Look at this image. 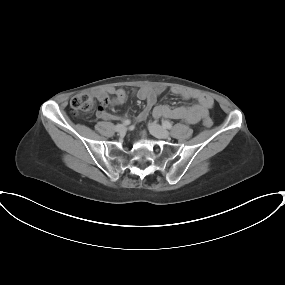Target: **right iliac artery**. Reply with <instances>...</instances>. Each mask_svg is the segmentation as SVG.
I'll use <instances>...</instances> for the list:
<instances>
[{
	"mask_svg": "<svg viewBox=\"0 0 285 285\" xmlns=\"http://www.w3.org/2000/svg\"><path fill=\"white\" fill-rule=\"evenodd\" d=\"M130 123H131V122H130V120H128V119L123 121V124H124V125H129Z\"/></svg>",
	"mask_w": 285,
	"mask_h": 285,
	"instance_id": "82829eb1",
	"label": "right iliac artery"
}]
</instances>
